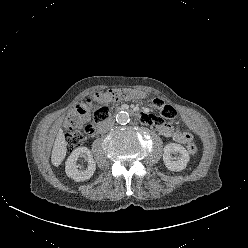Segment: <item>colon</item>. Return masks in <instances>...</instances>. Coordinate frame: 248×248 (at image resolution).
Wrapping results in <instances>:
<instances>
[{
	"instance_id": "colon-1",
	"label": "colon",
	"mask_w": 248,
	"mask_h": 248,
	"mask_svg": "<svg viewBox=\"0 0 248 248\" xmlns=\"http://www.w3.org/2000/svg\"><path fill=\"white\" fill-rule=\"evenodd\" d=\"M143 96L144 94L139 91L112 89L96 94L93 98L75 105L64 119V126L67 129L65 139L68 151L76 150L81 145L85 134L94 132L95 123L103 121L109 116L108 104L110 102L128 98H142ZM187 150L194 155L198 152V147L195 143L190 142L187 145Z\"/></svg>"
}]
</instances>
